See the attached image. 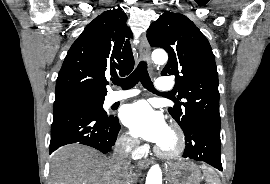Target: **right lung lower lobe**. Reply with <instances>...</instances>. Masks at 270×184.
<instances>
[{
  "label": "right lung lower lobe",
  "mask_w": 270,
  "mask_h": 184,
  "mask_svg": "<svg viewBox=\"0 0 270 184\" xmlns=\"http://www.w3.org/2000/svg\"><path fill=\"white\" fill-rule=\"evenodd\" d=\"M120 130L117 117L102 118L85 102L54 105L49 153L59 147L79 143L102 153L111 151Z\"/></svg>",
  "instance_id": "obj_1"
}]
</instances>
